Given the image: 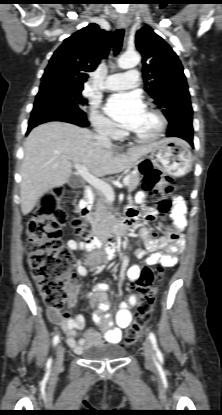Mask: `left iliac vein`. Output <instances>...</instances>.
<instances>
[{
    "label": "left iliac vein",
    "instance_id": "1",
    "mask_svg": "<svg viewBox=\"0 0 222 415\" xmlns=\"http://www.w3.org/2000/svg\"><path fill=\"white\" fill-rule=\"evenodd\" d=\"M144 357L148 365L153 364L152 344L149 339H146L144 342Z\"/></svg>",
    "mask_w": 222,
    "mask_h": 415
}]
</instances>
